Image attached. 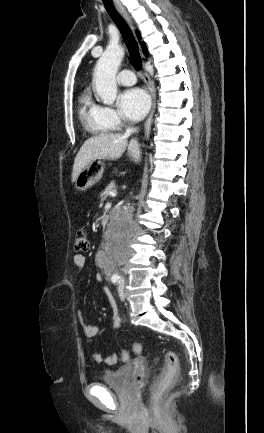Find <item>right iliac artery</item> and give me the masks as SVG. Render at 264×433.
<instances>
[{"instance_id":"82829eb1","label":"right iliac artery","mask_w":264,"mask_h":433,"mask_svg":"<svg viewBox=\"0 0 264 433\" xmlns=\"http://www.w3.org/2000/svg\"><path fill=\"white\" fill-rule=\"evenodd\" d=\"M111 281H112L114 284L119 283V282H120V277H112V278H111Z\"/></svg>"}]
</instances>
